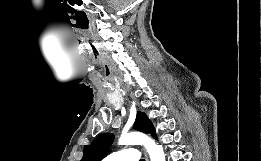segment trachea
Segmentation results:
<instances>
[{
	"label": "trachea",
	"instance_id": "3493384b",
	"mask_svg": "<svg viewBox=\"0 0 261 161\" xmlns=\"http://www.w3.org/2000/svg\"><path fill=\"white\" fill-rule=\"evenodd\" d=\"M140 161H145L144 159H141Z\"/></svg>",
	"mask_w": 261,
	"mask_h": 161
}]
</instances>
